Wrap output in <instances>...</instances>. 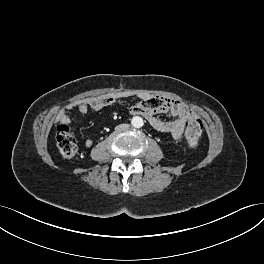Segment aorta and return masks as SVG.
<instances>
[{"mask_svg": "<svg viewBox=\"0 0 264 264\" xmlns=\"http://www.w3.org/2000/svg\"><path fill=\"white\" fill-rule=\"evenodd\" d=\"M143 124V118L140 116H135L131 119V125L135 128H141Z\"/></svg>", "mask_w": 264, "mask_h": 264, "instance_id": "762f6f07", "label": "aorta"}]
</instances>
